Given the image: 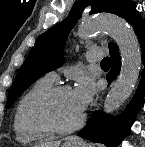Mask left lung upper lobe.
Segmentation results:
<instances>
[{"instance_id": "obj_1", "label": "left lung upper lobe", "mask_w": 145, "mask_h": 147, "mask_svg": "<svg viewBox=\"0 0 145 147\" xmlns=\"http://www.w3.org/2000/svg\"><path fill=\"white\" fill-rule=\"evenodd\" d=\"M131 2V0H76L69 16L36 40L17 72L8 94L6 108H10L18 96L42 75L63 64L62 52L65 40L86 6L92 4L90 14L108 12L123 17Z\"/></svg>"}]
</instances>
